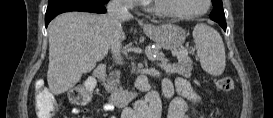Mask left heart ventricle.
Instances as JSON below:
<instances>
[{
  "mask_svg": "<svg viewBox=\"0 0 273 118\" xmlns=\"http://www.w3.org/2000/svg\"><path fill=\"white\" fill-rule=\"evenodd\" d=\"M167 9L180 13H192L205 7L204 0H164Z\"/></svg>",
  "mask_w": 273,
  "mask_h": 118,
  "instance_id": "b2bd125f",
  "label": "left heart ventricle"
}]
</instances>
